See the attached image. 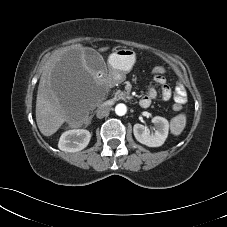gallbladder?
I'll return each mask as SVG.
<instances>
[{"instance_id":"bac80fb5","label":"gallbladder","mask_w":227,"mask_h":227,"mask_svg":"<svg viewBox=\"0 0 227 227\" xmlns=\"http://www.w3.org/2000/svg\"><path fill=\"white\" fill-rule=\"evenodd\" d=\"M85 60L87 65L95 73L105 72L107 70V65L104 63L103 57L93 49L85 50Z\"/></svg>"}]
</instances>
